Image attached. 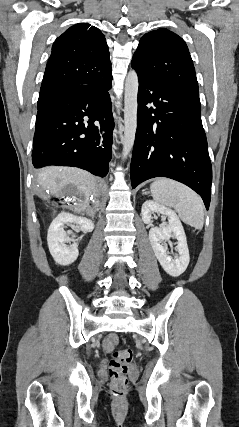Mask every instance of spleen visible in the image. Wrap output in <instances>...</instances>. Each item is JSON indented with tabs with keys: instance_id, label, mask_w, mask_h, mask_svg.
<instances>
[{
	"instance_id": "spleen-1",
	"label": "spleen",
	"mask_w": 239,
	"mask_h": 427,
	"mask_svg": "<svg viewBox=\"0 0 239 427\" xmlns=\"http://www.w3.org/2000/svg\"><path fill=\"white\" fill-rule=\"evenodd\" d=\"M155 202L162 206L174 208L181 220L201 230L204 224V205L201 198L187 186L161 178L150 185Z\"/></svg>"
}]
</instances>
